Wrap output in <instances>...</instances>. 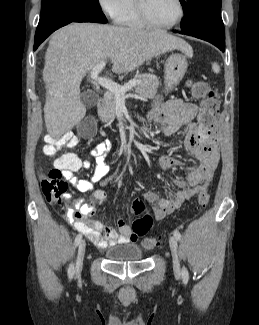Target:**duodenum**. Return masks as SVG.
Here are the masks:
<instances>
[{
	"label": "duodenum",
	"mask_w": 259,
	"mask_h": 325,
	"mask_svg": "<svg viewBox=\"0 0 259 325\" xmlns=\"http://www.w3.org/2000/svg\"><path fill=\"white\" fill-rule=\"evenodd\" d=\"M97 108H101L103 106V99L99 98L96 104Z\"/></svg>",
	"instance_id": "410a0bca"
}]
</instances>
